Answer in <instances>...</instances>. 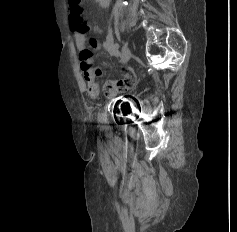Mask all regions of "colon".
Listing matches in <instances>:
<instances>
[{
  "label": "colon",
  "instance_id": "1",
  "mask_svg": "<svg viewBox=\"0 0 237 232\" xmlns=\"http://www.w3.org/2000/svg\"><path fill=\"white\" fill-rule=\"evenodd\" d=\"M69 3L70 24L72 29L78 33H86L88 31V26L82 17L83 9L81 6V0H69Z\"/></svg>",
  "mask_w": 237,
  "mask_h": 232
}]
</instances>
